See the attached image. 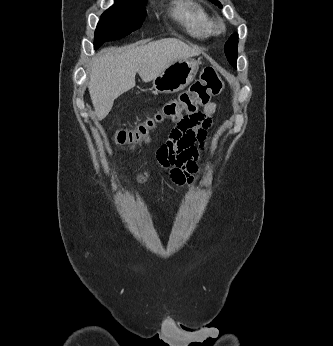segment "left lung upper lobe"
Wrapping results in <instances>:
<instances>
[{"mask_svg":"<svg viewBox=\"0 0 333 346\" xmlns=\"http://www.w3.org/2000/svg\"><path fill=\"white\" fill-rule=\"evenodd\" d=\"M212 3L218 5L219 7H222L221 3L218 0H209ZM237 45H238V34L234 33L229 38V40L226 42L224 51L225 55L229 61V63L236 68V60H237Z\"/></svg>","mask_w":333,"mask_h":346,"instance_id":"obj_1","label":"left lung upper lobe"}]
</instances>
